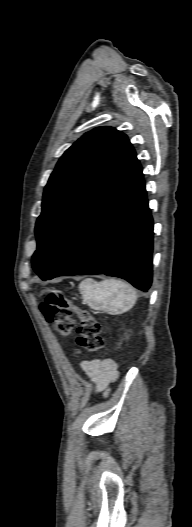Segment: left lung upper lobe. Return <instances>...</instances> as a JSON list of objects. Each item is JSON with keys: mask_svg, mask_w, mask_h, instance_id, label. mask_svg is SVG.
Returning a JSON list of instances; mask_svg holds the SVG:
<instances>
[{"mask_svg": "<svg viewBox=\"0 0 192 527\" xmlns=\"http://www.w3.org/2000/svg\"><path fill=\"white\" fill-rule=\"evenodd\" d=\"M137 161L127 136L112 127L95 128L65 151L44 189L35 228L38 246L32 266L40 277Z\"/></svg>", "mask_w": 192, "mask_h": 527, "instance_id": "obj_1", "label": "left lung upper lobe"}]
</instances>
